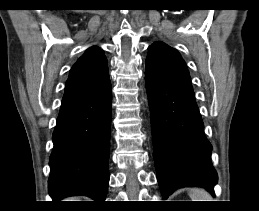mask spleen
<instances>
[{
  "mask_svg": "<svg viewBox=\"0 0 259 211\" xmlns=\"http://www.w3.org/2000/svg\"><path fill=\"white\" fill-rule=\"evenodd\" d=\"M189 196L191 201H213L211 195L202 188H191Z\"/></svg>",
  "mask_w": 259,
  "mask_h": 211,
  "instance_id": "1",
  "label": "spleen"
}]
</instances>
